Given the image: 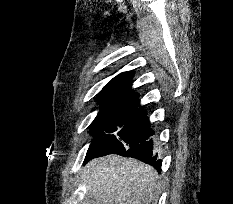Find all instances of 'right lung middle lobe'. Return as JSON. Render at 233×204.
I'll use <instances>...</instances> for the list:
<instances>
[{"instance_id":"dd1d6c3e","label":"right lung middle lobe","mask_w":233,"mask_h":204,"mask_svg":"<svg viewBox=\"0 0 233 204\" xmlns=\"http://www.w3.org/2000/svg\"><path fill=\"white\" fill-rule=\"evenodd\" d=\"M91 134L94 137L91 146L113 152L145 142L154 132L149 129L147 112L139 108V103H130L99 112Z\"/></svg>"}]
</instances>
